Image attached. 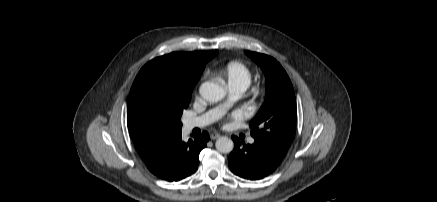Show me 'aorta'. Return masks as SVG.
<instances>
[{"mask_svg":"<svg viewBox=\"0 0 437 202\" xmlns=\"http://www.w3.org/2000/svg\"><path fill=\"white\" fill-rule=\"evenodd\" d=\"M201 97L211 103L222 100L226 94L223 87L214 82H204L199 88ZM216 149L221 153H230L234 148L232 139L223 136L217 139Z\"/></svg>","mask_w":437,"mask_h":202,"instance_id":"aorta-1","label":"aorta"}]
</instances>
